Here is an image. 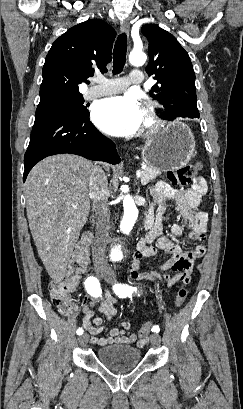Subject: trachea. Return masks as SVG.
I'll list each match as a JSON object with an SVG mask.
<instances>
[{
    "mask_svg": "<svg viewBox=\"0 0 243 409\" xmlns=\"http://www.w3.org/2000/svg\"><path fill=\"white\" fill-rule=\"evenodd\" d=\"M127 36L122 33L118 36L113 50V74H118L123 70L126 62Z\"/></svg>",
    "mask_w": 243,
    "mask_h": 409,
    "instance_id": "1",
    "label": "trachea"
}]
</instances>
